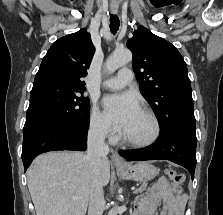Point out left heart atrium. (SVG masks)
<instances>
[{
  "instance_id": "obj_1",
  "label": "left heart atrium",
  "mask_w": 223,
  "mask_h": 215,
  "mask_svg": "<svg viewBox=\"0 0 223 215\" xmlns=\"http://www.w3.org/2000/svg\"><path fill=\"white\" fill-rule=\"evenodd\" d=\"M103 107L108 119L120 129L127 127L140 110L137 96L130 92L106 96Z\"/></svg>"
}]
</instances>
